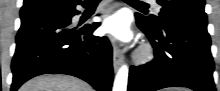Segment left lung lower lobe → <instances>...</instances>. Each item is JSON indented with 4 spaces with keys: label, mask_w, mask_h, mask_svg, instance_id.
I'll return each instance as SVG.
<instances>
[{
    "label": "left lung lower lobe",
    "mask_w": 220,
    "mask_h": 91,
    "mask_svg": "<svg viewBox=\"0 0 220 91\" xmlns=\"http://www.w3.org/2000/svg\"><path fill=\"white\" fill-rule=\"evenodd\" d=\"M136 20L149 38L155 57L152 62L130 68L128 91H155L166 87L215 91L207 24L176 19L156 28L138 13Z\"/></svg>",
    "instance_id": "obj_1"
}]
</instances>
